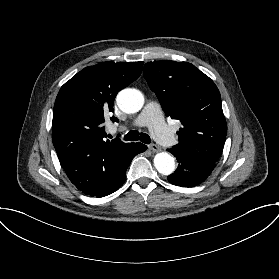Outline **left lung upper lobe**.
Here are the masks:
<instances>
[{
    "label": "left lung upper lobe",
    "mask_w": 279,
    "mask_h": 279,
    "mask_svg": "<svg viewBox=\"0 0 279 279\" xmlns=\"http://www.w3.org/2000/svg\"><path fill=\"white\" fill-rule=\"evenodd\" d=\"M144 77L166 116L179 119L183 125L174 148L217 162L227 125L214 82L191 63L170 60L146 63Z\"/></svg>",
    "instance_id": "left-lung-upper-lobe-1"
}]
</instances>
